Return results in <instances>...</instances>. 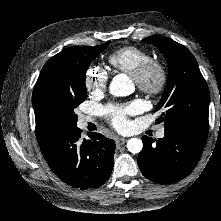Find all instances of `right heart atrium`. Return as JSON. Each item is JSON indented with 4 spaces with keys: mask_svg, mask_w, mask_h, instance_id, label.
<instances>
[{
    "mask_svg": "<svg viewBox=\"0 0 221 221\" xmlns=\"http://www.w3.org/2000/svg\"><path fill=\"white\" fill-rule=\"evenodd\" d=\"M108 81V73L99 67L91 65L85 70V87L88 92L98 93L104 91Z\"/></svg>",
    "mask_w": 221,
    "mask_h": 221,
    "instance_id": "obj_1",
    "label": "right heart atrium"
}]
</instances>
